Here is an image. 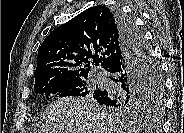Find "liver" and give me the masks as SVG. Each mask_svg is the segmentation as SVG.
I'll return each instance as SVG.
<instances>
[{
	"mask_svg": "<svg viewBox=\"0 0 184 133\" xmlns=\"http://www.w3.org/2000/svg\"><path fill=\"white\" fill-rule=\"evenodd\" d=\"M93 99L58 98L46 108L45 122L39 133H139Z\"/></svg>",
	"mask_w": 184,
	"mask_h": 133,
	"instance_id": "obj_1",
	"label": "liver"
}]
</instances>
